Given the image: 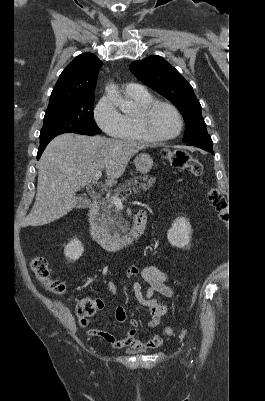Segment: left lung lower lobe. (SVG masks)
Here are the masks:
<instances>
[{"label": "left lung lower lobe", "instance_id": "0a47b994", "mask_svg": "<svg viewBox=\"0 0 265 401\" xmlns=\"http://www.w3.org/2000/svg\"><path fill=\"white\" fill-rule=\"evenodd\" d=\"M189 146H196L199 147L203 150L209 151L210 153L214 154L213 152V142L211 140V137L209 135H205L202 137H199L197 139L185 142Z\"/></svg>", "mask_w": 265, "mask_h": 401}]
</instances>
